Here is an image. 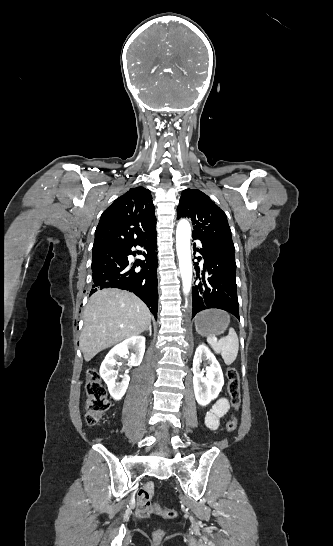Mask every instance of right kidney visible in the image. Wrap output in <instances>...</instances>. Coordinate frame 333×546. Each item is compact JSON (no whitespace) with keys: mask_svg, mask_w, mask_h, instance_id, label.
I'll use <instances>...</instances> for the list:
<instances>
[{"mask_svg":"<svg viewBox=\"0 0 333 546\" xmlns=\"http://www.w3.org/2000/svg\"><path fill=\"white\" fill-rule=\"evenodd\" d=\"M133 349L128 363L129 366H138L142 362L145 352V338L143 336L126 339L113 347L106 355L100 367V375L108 386L109 393L114 400H120L129 385V376L125 375L121 382H116L118 372L114 370L118 357L126 356L129 349Z\"/></svg>","mask_w":333,"mask_h":546,"instance_id":"1","label":"right kidney"}]
</instances>
